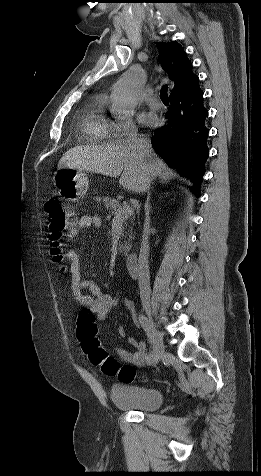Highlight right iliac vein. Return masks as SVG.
Returning <instances> with one entry per match:
<instances>
[{"instance_id": "right-iliac-vein-1", "label": "right iliac vein", "mask_w": 261, "mask_h": 476, "mask_svg": "<svg viewBox=\"0 0 261 476\" xmlns=\"http://www.w3.org/2000/svg\"><path fill=\"white\" fill-rule=\"evenodd\" d=\"M148 314V327L151 328L153 337V352H154V362L157 363L165 354V346L163 343L162 335L160 331L157 329L156 325L154 324L150 312L147 311Z\"/></svg>"}]
</instances>
